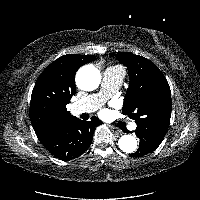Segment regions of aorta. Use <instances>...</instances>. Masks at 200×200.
<instances>
[{
    "mask_svg": "<svg viewBox=\"0 0 200 200\" xmlns=\"http://www.w3.org/2000/svg\"><path fill=\"white\" fill-rule=\"evenodd\" d=\"M101 81V74L97 68L88 65L79 69L76 75L78 87L85 91L95 90ZM119 148L125 153L136 151L138 142L132 135H123L118 141Z\"/></svg>",
    "mask_w": 200,
    "mask_h": 200,
    "instance_id": "obj_1",
    "label": "aorta"
}]
</instances>
